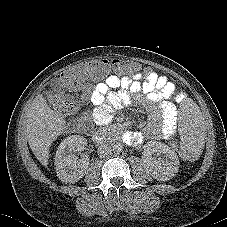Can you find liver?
<instances>
[{"instance_id": "obj_1", "label": "liver", "mask_w": 227, "mask_h": 227, "mask_svg": "<svg viewBox=\"0 0 227 227\" xmlns=\"http://www.w3.org/2000/svg\"><path fill=\"white\" fill-rule=\"evenodd\" d=\"M65 127L64 118L51 109L42 94L36 96L27 113L26 136L33 154L43 166L47 167L49 163L53 140Z\"/></svg>"}]
</instances>
